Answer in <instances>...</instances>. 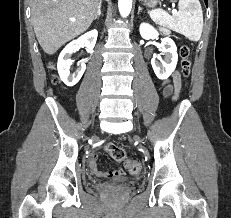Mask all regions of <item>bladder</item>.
<instances>
[{"label":"bladder","instance_id":"obj_1","mask_svg":"<svg viewBox=\"0 0 231 218\" xmlns=\"http://www.w3.org/2000/svg\"><path fill=\"white\" fill-rule=\"evenodd\" d=\"M117 182H119V183H130L131 181L129 179H127V178H121V179L117 180Z\"/></svg>","mask_w":231,"mask_h":218}]
</instances>
